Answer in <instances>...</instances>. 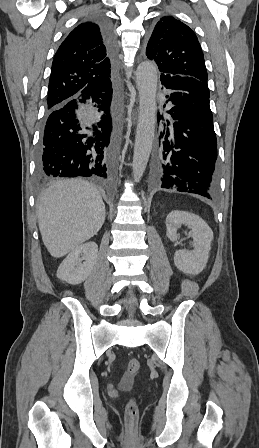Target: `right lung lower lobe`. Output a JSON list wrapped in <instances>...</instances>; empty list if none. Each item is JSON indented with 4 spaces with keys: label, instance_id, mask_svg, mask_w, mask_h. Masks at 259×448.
<instances>
[{
    "label": "right lung lower lobe",
    "instance_id": "98d812e1",
    "mask_svg": "<svg viewBox=\"0 0 259 448\" xmlns=\"http://www.w3.org/2000/svg\"><path fill=\"white\" fill-rule=\"evenodd\" d=\"M101 30L113 64L116 40L104 18L90 20ZM112 83V82H111ZM112 84L101 92L80 95L47 109L36 162L37 179L49 177L107 178L116 136Z\"/></svg>",
    "mask_w": 259,
    "mask_h": 448
}]
</instances>
